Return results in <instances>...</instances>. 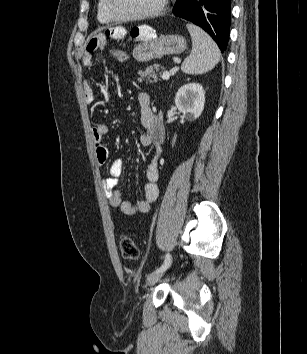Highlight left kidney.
<instances>
[{
	"label": "left kidney",
	"instance_id": "5707ae66",
	"mask_svg": "<svg viewBox=\"0 0 307 354\" xmlns=\"http://www.w3.org/2000/svg\"><path fill=\"white\" fill-rule=\"evenodd\" d=\"M205 104V91L198 83L181 86L175 96V105L189 121L197 119Z\"/></svg>",
	"mask_w": 307,
	"mask_h": 354
}]
</instances>
